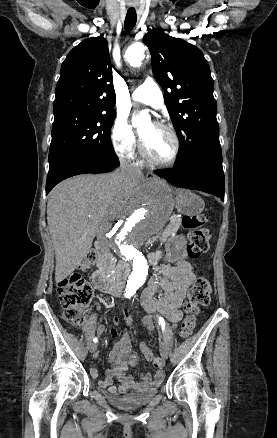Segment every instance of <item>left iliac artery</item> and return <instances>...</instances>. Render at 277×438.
Listing matches in <instances>:
<instances>
[{"label":"left iliac artery","instance_id":"44dca946","mask_svg":"<svg viewBox=\"0 0 277 438\" xmlns=\"http://www.w3.org/2000/svg\"><path fill=\"white\" fill-rule=\"evenodd\" d=\"M158 320H159V324L161 325L162 331H163L165 328V321L162 317H158Z\"/></svg>","mask_w":277,"mask_h":438}]
</instances>
